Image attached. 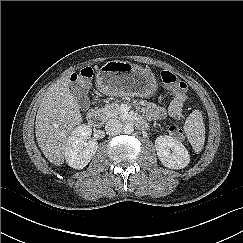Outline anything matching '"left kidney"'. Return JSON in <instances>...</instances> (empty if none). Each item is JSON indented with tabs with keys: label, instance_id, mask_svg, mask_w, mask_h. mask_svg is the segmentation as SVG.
Returning a JSON list of instances; mask_svg holds the SVG:
<instances>
[{
	"label": "left kidney",
	"instance_id": "1",
	"mask_svg": "<svg viewBox=\"0 0 243 243\" xmlns=\"http://www.w3.org/2000/svg\"><path fill=\"white\" fill-rule=\"evenodd\" d=\"M155 149L161 163L170 169H183L190 162V156L185 146L171 136L157 137Z\"/></svg>",
	"mask_w": 243,
	"mask_h": 243
}]
</instances>
